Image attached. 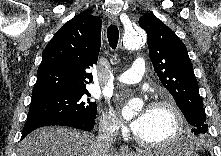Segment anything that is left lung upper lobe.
<instances>
[{
  "label": "left lung upper lobe",
  "mask_w": 221,
  "mask_h": 156,
  "mask_svg": "<svg viewBox=\"0 0 221 156\" xmlns=\"http://www.w3.org/2000/svg\"><path fill=\"white\" fill-rule=\"evenodd\" d=\"M146 31L149 56L163 86L173 96L195 135L206 133V114L198 83L184 43L152 14L139 19Z\"/></svg>",
  "instance_id": "5c2ea615"
}]
</instances>
